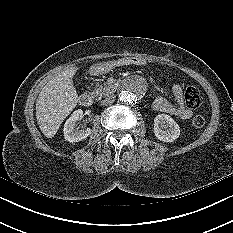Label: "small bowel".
<instances>
[{"instance_id": "c3829d8e", "label": "small bowel", "mask_w": 233, "mask_h": 233, "mask_svg": "<svg viewBox=\"0 0 233 233\" xmlns=\"http://www.w3.org/2000/svg\"><path fill=\"white\" fill-rule=\"evenodd\" d=\"M172 93L175 98V103H171L163 97H157L152 104L153 109L157 112L170 114L182 120L191 118L193 113L185 104L183 87L180 84H174Z\"/></svg>"}]
</instances>
